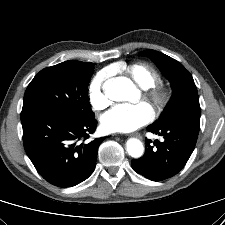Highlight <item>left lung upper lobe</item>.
Listing matches in <instances>:
<instances>
[{"label": "left lung upper lobe", "instance_id": "obj_1", "mask_svg": "<svg viewBox=\"0 0 225 225\" xmlns=\"http://www.w3.org/2000/svg\"><path fill=\"white\" fill-rule=\"evenodd\" d=\"M147 56L167 77L173 89V95L159 120L151 126L190 125L200 127V104L197 88L192 75L175 59L155 50L139 53Z\"/></svg>", "mask_w": 225, "mask_h": 225}]
</instances>
